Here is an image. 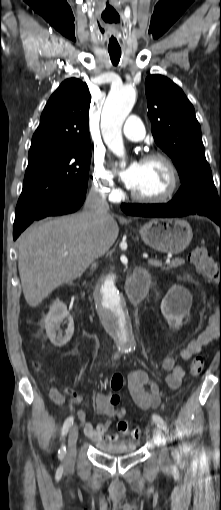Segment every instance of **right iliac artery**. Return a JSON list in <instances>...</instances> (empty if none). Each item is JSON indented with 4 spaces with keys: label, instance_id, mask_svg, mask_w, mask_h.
Wrapping results in <instances>:
<instances>
[{
    "label": "right iliac artery",
    "instance_id": "right-iliac-artery-1",
    "mask_svg": "<svg viewBox=\"0 0 221 510\" xmlns=\"http://www.w3.org/2000/svg\"><path fill=\"white\" fill-rule=\"evenodd\" d=\"M74 418L72 416L68 417L62 427V435H66L68 433L69 428L73 425ZM66 453V447L62 446L58 452L59 458L62 459Z\"/></svg>",
    "mask_w": 221,
    "mask_h": 510
}]
</instances>
